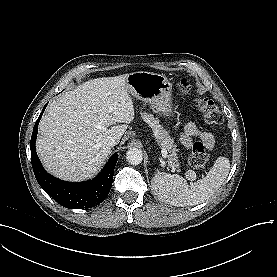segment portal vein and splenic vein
Segmentation results:
<instances>
[{"instance_id":"portal-vein-and-splenic-vein-1","label":"portal vein and splenic vein","mask_w":277,"mask_h":277,"mask_svg":"<svg viewBox=\"0 0 277 277\" xmlns=\"http://www.w3.org/2000/svg\"><path fill=\"white\" fill-rule=\"evenodd\" d=\"M161 154H162V156H163L164 158L168 157V152H167V150H166L165 148H162Z\"/></svg>"}]
</instances>
